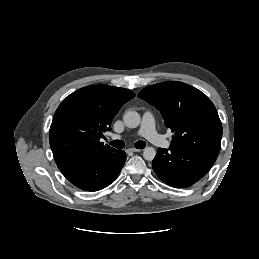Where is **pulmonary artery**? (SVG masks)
Segmentation results:
<instances>
[{"instance_id":"e3ab8cb5","label":"pulmonary artery","mask_w":259,"mask_h":259,"mask_svg":"<svg viewBox=\"0 0 259 259\" xmlns=\"http://www.w3.org/2000/svg\"><path fill=\"white\" fill-rule=\"evenodd\" d=\"M139 136H143L148 139L151 143L162 146L168 147L169 143L164 140V138L159 135L155 129V121L154 117L151 112L147 111L144 113L142 117L141 127L137 133ZM114 139H120V136H113Z\"/></svg>"}]
</instances>
